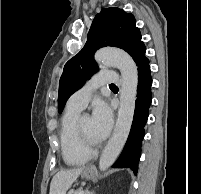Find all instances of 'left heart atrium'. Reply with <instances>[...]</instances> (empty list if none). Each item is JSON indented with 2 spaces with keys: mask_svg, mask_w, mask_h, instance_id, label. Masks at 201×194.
<instances>
[{
  "mask_svg": "<svg viewBox=\"0 0 201 194\" xmlns=\"http://www.w3.org/2000/svg\"><path fill=\"white\" fill-rule=\"evenodd\" d=\"M91 121L94 137L98 141L105 139L113 122L112 112L106 103L99 101L94 105Z\"/></svg>",
  "mask_w": 201,
  "mask_h": 194,
  "instance_id": "obj_1",
  "label": "left heart atrium"
}]
</instances>
